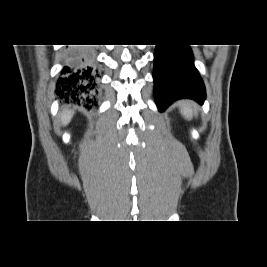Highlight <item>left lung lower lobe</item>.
<instances>
[{"instance_id": "0a47b994", "label": "left lung lower lobe", "mask_w": 267, "mask_h": 267, "mask_svg": "<svg viewBox=\"0 0 267 267\" xmlns=\"http://www.w3.org/2000/svg\"><path fill=\"white\" fill-rule=\"evenodd\" d=\"M153 79L160 111L182 98L194 99L200 104L204 102V83L194 66L189 45H156Z\"/></svg>"}]
</instances>
